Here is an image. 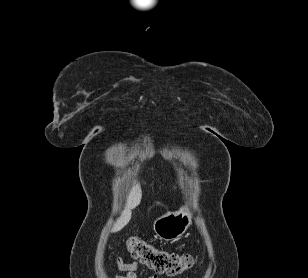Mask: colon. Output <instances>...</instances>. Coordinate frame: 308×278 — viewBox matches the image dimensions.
I'll return each instance as SVG.
<instances>
[{"instance_id":"1","label":"colon","mask_w":308,"mask_h":278,"mask_svg":"<svg viewBox=\"0 0 308 278\" xmlns=\"http://www.w3.org/2000/svg\"><path fill=\"white\" fill-rule=\"evenodd\" d=\"M130 254L158 274L177 275L188 270L194 263L192 256L159 249L137 237L126 241Z\"/></svg>"}]
</instances>
